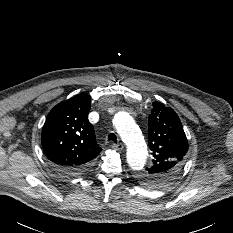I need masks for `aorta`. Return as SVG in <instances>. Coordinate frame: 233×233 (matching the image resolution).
I'll return each mask as SVG.
<instances>
[{"label":"aorta","instance_id":"1","mask_svg":"<svg viewBox=\"0 0 233 233\" xmlns=\"http://www.w3.org/2000/svg\"><path fill=\"white\" fill-rule=\"evenodd\" d=\"M113 124L127 145V163L132 169H141L147 159V148L138 125L126 112H118Z\"/></svg>","mask_w":233,"mask_h":233}]
</instances>
